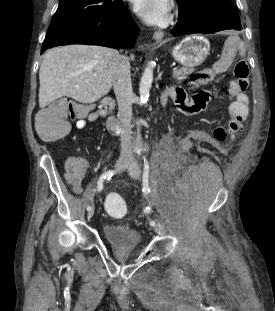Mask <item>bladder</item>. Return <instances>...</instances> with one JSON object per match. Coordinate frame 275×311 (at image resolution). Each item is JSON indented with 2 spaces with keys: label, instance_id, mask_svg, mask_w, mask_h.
<instances>
[{
  "label": "bladder",
  "instance_id": "1",
  "mask_svg": "<svg viewBox=\"0 0 275 311\" xmlns=\"http://www.w3.org/2000/svg\"><path fill=\"white\" fill-rule=\"evenodd\" d=\"M102 231L108 243L118 249H131L140 240L138 230L125 223H105L102 226Z\"/></svg>",
  "mask_w": 275,
  "mask_h": 311
}]
</instances>
